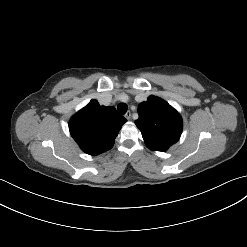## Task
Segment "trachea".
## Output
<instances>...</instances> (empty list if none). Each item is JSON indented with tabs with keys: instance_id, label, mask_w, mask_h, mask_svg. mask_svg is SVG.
Returning <instances> with one entry per match:
<instances>
[{
	"instance_id": "obj_1",
	"label": "trachea",
	"mask_w": 247,
	"mask_h": 247,
	"mask_svg": "<svg viewBox=\"0 0 247 247\" xmlns=\"http://www.w3.org/2000/svg\"><path fill=\"white\" fill-rule=\"evenodd\" d=\"M117 110H118L119 113L125 114L127 112V110H128V106L125 103H120L117 106Z\"/></svg>"
}]
</instances>
